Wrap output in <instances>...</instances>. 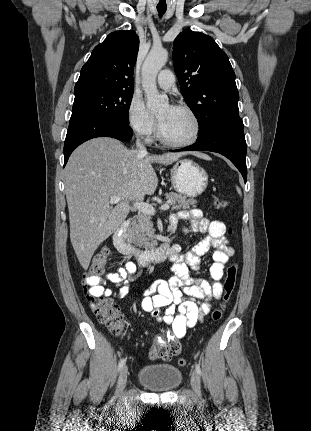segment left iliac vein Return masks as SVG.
<instances>
[{"label":"left iliac vein","mask_w":311,"mask_h":431,"mask_svg":"<svg viewBox=\"0 0 311 431\" xmlns=\"http://www.w3.org/2000/svg\"><path fill=\"white\" fill-rule=\"evenodd\" d=\"M191 385L196 396L200 395V379L196 370L191 373Z\"/></svg>","instance_id":"1"}]
</instances>
